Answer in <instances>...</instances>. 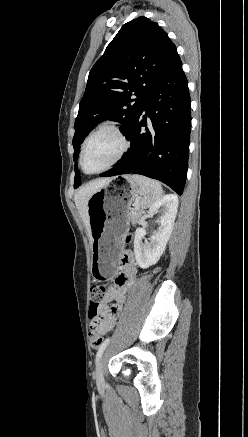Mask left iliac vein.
Wrapping results in <instances>:
<instances>
[{
	"label": "left iliac vein",
	"mask_w": 248,
	"mask_h": 437,
	"mask_svg": "<svg viewBox=\"0 0 248 437\" xmlns=\"http://www.w3.org/2000/svg\"><path fill=\"white\" fill-rule=\"evenodd\" d=\"M94 378L98 386H101L104 383L103 377V356H101L98 360L96 370L94 372Z\"/></svg>",
	"instance_id": "left-iliac-vein-1"
}]
</instances>
